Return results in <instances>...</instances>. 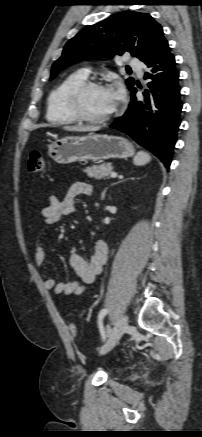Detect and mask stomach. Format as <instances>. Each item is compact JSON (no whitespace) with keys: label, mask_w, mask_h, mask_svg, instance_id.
I'll list each match as a JSON object with an SVG mask.
<instances>
[{"label":"stomach","mask_w":202,"mask_h":437,"mask_svg":"<svg viewBox=\"0 0 202 437\" xmlns=\"http://www.w3.org/2000/svg\"><path fill=\"white\" fill-rule=\"evenodd\" d=\"M48 155L57 163L76 161H104L128 158L134 155L133 145L120 136L91 133L81 137H65L48 146Z\"/></svg>","instance_id":"stomach-1"}]
</instances>
